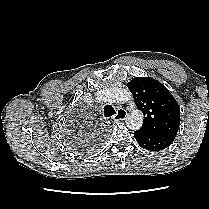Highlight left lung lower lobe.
I'll return each instance as SVG.
<instances>
[{
    "mask_svg": "<svg viewBox=\"0 0 209 209\" xmlns=\"http://www.w3.org/2000/svg\"><path fill=\"white\" fill-rule=\"evenodd\" d=\"M134 136L141 147L151 151L163 150L174 141L173 138L152 134L142 129L135 131Z\"/></svg>",
    "mask_w": 209,
    "mask_h": 209,
    "instance_id": "1",
    "label": "left lung lower lobe"
}]
</instances>
